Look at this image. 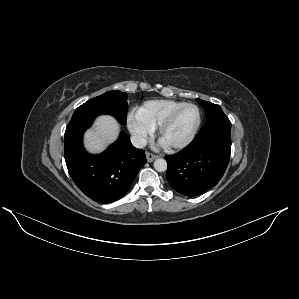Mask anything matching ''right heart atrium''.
Instances as JSON below:
<instances>
[{
  "mask_svg": "<svg viewBox=\"0 0 299 299\" xmlns=\"http://www.w3.org/2000/svg\"><path fill=\"white\" fill-rule=\"evenodd\" d=\"M127 127L137 145H144L152 135L153 129L148 126L138 114L130 113L127 117Z\"/></svg>",
  "mask_w": 299,
  "mask_h": 299,
  "instance_id": "d8ad5b80",
  "label": "right heart atrium"
}]
</instances>
